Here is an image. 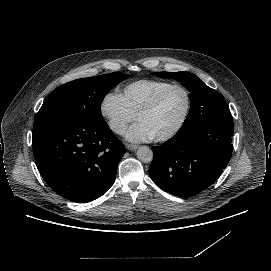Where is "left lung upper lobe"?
Wrapping results in <instances>:
<instances>
[{
	"label": "left lung upper lobe",
	"instance_id": "left-lung-upper-lobe-1",
	"mask_svg": "<svg viewBox=\"0 0 271 271\" xmlns=\"http://www.w3.org/2000/svg\"><path fill=\"white\" fill-rule=\"evenodd\" d=\"M158 77L175 79L190 91L191 108L181 128L209 119H232L224 98L208 87L197 76L189 72H156Z\"/></svg>",
	"mask_w": 271,
	"mask_h": 271
}]
</instances>
